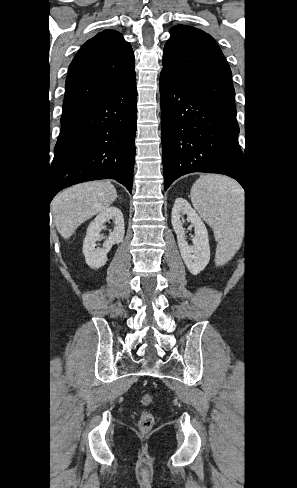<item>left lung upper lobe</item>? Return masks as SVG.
I'll use <instances>...</instances> for the list:
<instances>
[{"label": "left lung upper lobe", "instance_id": "1", "mask_svg": "<svg viewBox=\"0 0 297 488\" xmlns=\"http://www.w3.org/2000/svg\"><path fill=\"white\" fill-rule=\"evenodd\" d=\"M163 51V69L200 98L236 115L230 67L215 40L202 30L176 25Z\"/></svg>", "mask_w": 297, "mask_h": 488}]
</instances>
